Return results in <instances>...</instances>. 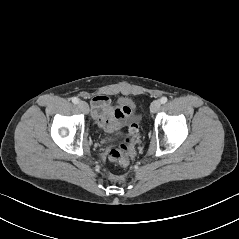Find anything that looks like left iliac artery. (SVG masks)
<instances>
[{
    "mask_svg": "<svg viewBox=\"0 0 239 239\" xmlns=\"http://www.w3.org/2000/svg\"><path fill=\"white\" fill-rule=\"evenodd\" d=\"M167 97H165V96H163L161 99H160V102L162 103V104H165L166 102H167Z\"/></svg>",
    "mask_w": 239,
    "mask_h": 239,
    "instance_id": "left-iliac-artery-1",
    "label": "left iliac artery"
}]
</instances>
